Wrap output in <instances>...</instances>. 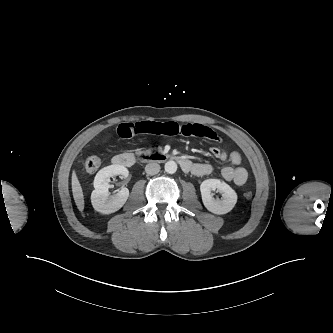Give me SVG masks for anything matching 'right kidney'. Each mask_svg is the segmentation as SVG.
Listing matches in <instances>:
<instances>
[{
  "instance_id": "obj_1",
  "label": "right kidney",
  "mask_w": 333,
  "mask_h": 333,
  "mask_svg": "<svg viewBox=\"0 0 333 333\" xmlns=\"http://www.w3.org/2000/svg\"><path fill=\"white\" fill-rule=\"evenodd\" d=\"M129 174L127 168L122 165H110L101 169L94 179V190L91 194V203L93 208L102 213L110 214L119 210L129 197V190L122 188L117 194L110 195V178L116 175L127 177Z\"/></svg>"
}]
</instances>
